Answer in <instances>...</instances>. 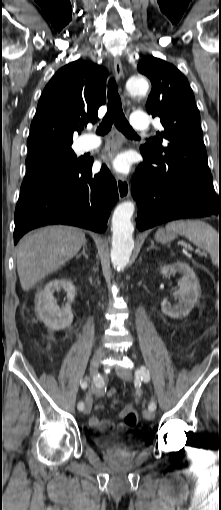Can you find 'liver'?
Returning a JSON list of instances; mask_svg holds the SVG:
<instances>
[{
    "mask_svg": "<svg viewBox=\"0 0 221 510\" xmlns=\"http://www.w3.org/2000/svg\"><path fill=\"white\" fill-rule=\"evenodd\" d=\"M86 243L78 228L56 225L24 236L17 245V271L21 287L30 290L45 276L73 258Z\"/></svg>",
    "mask_w": 221,
    "mask_h": 510,
    "instance_id": "6515ba94",
    "label": "liver"
}]
</instances>
